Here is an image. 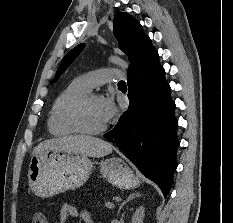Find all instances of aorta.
I'll return each mask as SVG.
<instances>
[{
	"mask_svg": "<svg viewBox=\"0 0 233 223\" xmlns=\"http://www.w3.org/2000/svg\"><path fill=\"white\" fill-rule=\"evenodd\" d=\"M110 60L111 62H114V64H117V66H120V68H123V70H127L128 68L127 62H124V60H121V58H117V56H112Z\"/></svg>",
	"mask_w": 233,
	"mask_h": 223,
	"instance_id": "762f6f07",
	"label": "aorta"
}]
</instances>
